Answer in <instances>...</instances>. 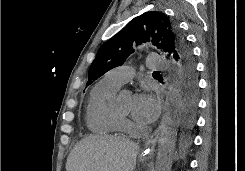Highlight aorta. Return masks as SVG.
I'll return each instance as SVG.
<instances>
[{"label":"aorta","instance_id":"1","mask_svg":"<svg viewBox=\"0 0 245 171\" xmlns=\"http://www.w3.org/2000/svg\"><path fill=\"white\" fill-rule=\"evenodd\" d=\"M181 106V89L175 75H171L168 80V93L160 125L155 171H171Z\"/></svg>","mask_w":245,"mask_h":171}]
</instances>
